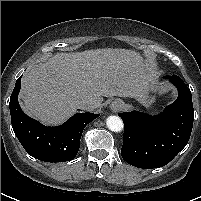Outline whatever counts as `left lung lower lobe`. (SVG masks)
I'll return each instance as SVG.
<instances>
[{
	"mask_svg": "<svg viewBox=\"0 0 201 201\" xmlns=\"http://www.w3.org/2000/svg\"><path fill=\"white\" fill-rule=\"evenodd\" d=\"M177 100L158 116L137 111L119 113L124 122L121 155L132 166L153 169L168 164L188 143L194 120L192 95L182 79L168 76Z\"/></svg>",
	"mask_w": 201,
	"mask_h": 201,
	"instance_id": "obj_1",
	"label": "left lung lower lobe"
}]
</instances>
